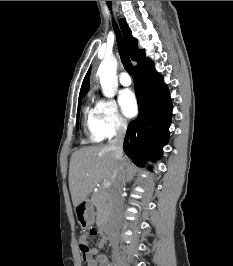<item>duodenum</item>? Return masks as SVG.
<instances>
[{
    "mask_svg": "<svg viewBox=\"0 0 233 266\" xmlns=\"http://www.w3.org/2000/svg\"><path fill=\"white\" fill-rule=\"evenodd\" d=\"M99 231L103 237V240L105 242L109 241L111 239V231L107 224L102 223L99 227Z\"/></svg>",
    "mask_w": 233,
    "mask_h": 266,
    "instance_id": "410a0bca",
    "label": "duodenum"
}]
</instances>
